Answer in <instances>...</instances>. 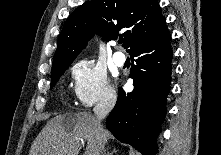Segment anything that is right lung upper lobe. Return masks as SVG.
<instances>
[{
	"mask_svg": "<svg viewBox=\"0 0 221 155\" xmlns=\"http://www.w3.org/2000/svg\"><path fill=\"white\" fill-rule=\"evenodd\" d=\"M165 23L157 0H91L66 20L58 39L52 70L71 64L94 33L114 40L123 31L129 52L146 33Z\"/></svg>",
	"mask_w": 221,
	"mask_h": 155,
	"instance_id": "cb5924a9",
	"label": "right lung upper lobe"
}]
</instances>
